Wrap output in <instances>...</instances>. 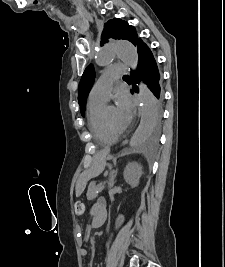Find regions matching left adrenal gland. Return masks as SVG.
Instances as JSON below:
<instances>
[{"mask_svg": "<svg viewBox=\"0 0 225 267\" xmlns=\"http://www.w3.org/2000/svg\"><path fill=\"white\" fill-rule=\"evenodd\" d=\"M116 174H117V171L113 170L111 173H110V177H109V188H112L115 184V177H116Z\"/></svg>", "mask_w": 225, "mask_h": 267, "instance_id": "1", "label": "left adrenal gland"}]
</instances>
